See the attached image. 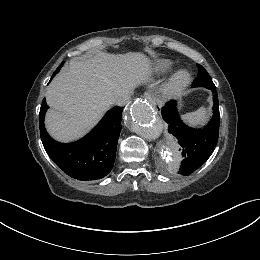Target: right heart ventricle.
I'll return each instance as SVG.
<instances>
[{
    "mask_svg": "<svg viewBox=\"0 0 260 260\" xmlns=\"http://www.w3.org/2000/svg\"><path fill=\"white\" fill-rule=\"evenodd\" d=\"M174 65V62L170 59H159L155 62V69L159 72H165L171 69Z\"/></svg>",
    "mask_w": 260,
    "mask_h": 260,
    "instance_id": "obj_1",
    "label": "right heart ventricle"
}]
</instances>
